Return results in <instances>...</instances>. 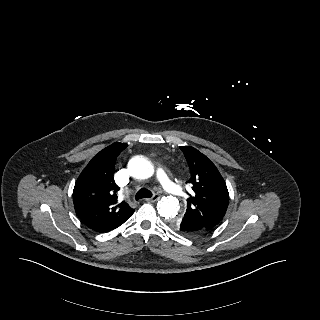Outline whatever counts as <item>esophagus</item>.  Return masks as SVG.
<instances>
[{"instance_id": "obj_1", "label": "esophagus", "mask_w": 320, "mask_h": 320, "mask_svg": "<svg viewBox=\"0 0 320 320\" xmlns=\"http://www.w3.org/2000/svg\"><path fill=\"white\" fill-rule=\"evenodd\" d=\"M158 200H159V196L158 195H154L153 197L146 199V201H148V202H156Z\"/></svg>"}]
</instances>
